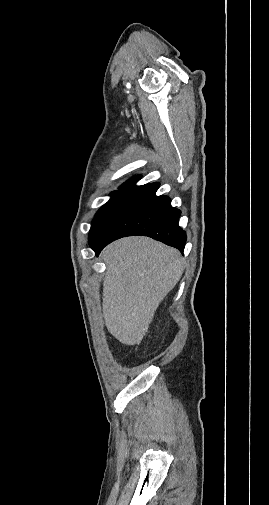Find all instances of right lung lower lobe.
<instances>
[{
    "label": "right lung lower lobe",
    "instance_id": "1",
    "mask_svg": "<svg viewBox=\"0 0 269 505\" xmlns=\"http://www.w3.org/2000/svg\"><path fill=\"white\" fill-rule=\"evenodd\" d=\"M158 188L159 183L148 184L118 212L99 240L90 246L96 256L110 242L132 235L149 236L183 252L186 232L178 224L181 212L171 206L169 197L156 196Z\"/></svg>",
    "mask_w": 269,
    "mask_h": 505
}]
</instances>
